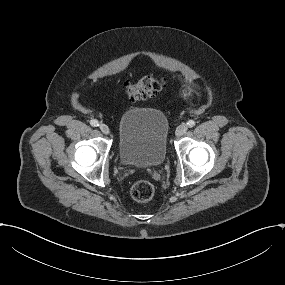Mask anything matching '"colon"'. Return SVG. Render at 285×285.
I'll list each match as a JSON object with an SVG mask.
<instances>
[{
    "label": "colon",
    "instance_id": "colon-1",
    "mask_svg": "<svg viewBox=\"0 0 285 285\" xmlns=\"http://www.w3.org/2000/svg\"><path fill=\"white\" fill-rule=\"evenodd\" d=\"M166 85V79L153 75L142 76L139 80L126 86L127 98L130 102H138L155 96ZM185 93L189 98L197 95L191 87H186ZM155 194L154 185L146 180L136 181L130 189V195L136 202H149Z\"/></svg>",
    "mask_w": 285,
    "mask_h": 285
}]
</instances>
